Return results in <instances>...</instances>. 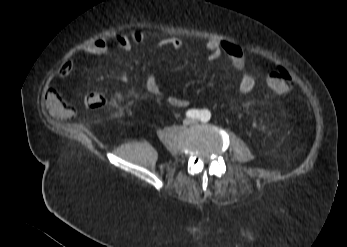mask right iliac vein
Here are the masks:
<instances>
[{
  "mask_svg": "<svg viewBox=\"0 0 347 247\" xmlns=\"http://www.w3.org/2000/svg\"><path fill=\"white\" fill-rule=\"evenodd\" d=\"M192 122H191V120H189V119H186L184 122H183V124H184V126H188V125H190Z\"/></svg>",
  "mask_w": 347,
  "mask_h": 247,
  "instance_id": "right-iliac-vein-1",
  "label": "right iliac vein"
}]
</instances>
